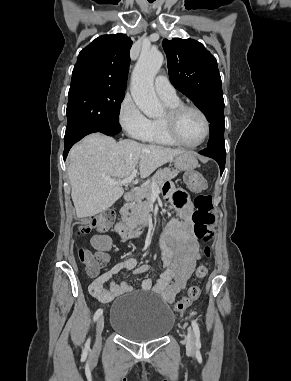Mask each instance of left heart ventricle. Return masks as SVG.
Instances as JSON below:
<instances>
[{
  "instance_id": "b2bd125f",
  "label": "left heart ventricle",
  "mask_w": 291,
  "mask_h": 381,
  "mask_svg": "<svg viewBox=\"0 0 291 381\" xmlns=\"http://www.w3.org/2000/svg\"><path fill=\"white\" fill-rule=\"evenodd\" d=\"M204 130L203 119L195 111H185L177 121L178 134L187 143L198 142L202 138Z\"/></svg>"
}]
</instances>
